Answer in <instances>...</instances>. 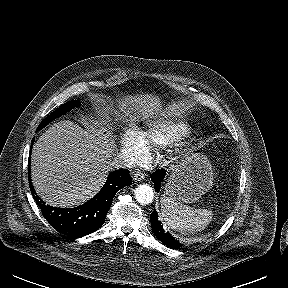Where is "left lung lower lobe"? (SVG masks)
<instances>
[{
    "instance_id": "1",
    "label": "left lung lower lobe",
    "mask_w": 288,
    "mask_h": 288,
    "mask_svg": "<svg viewBox=\"0 0 288 288\" xmlns=\"http://www.w3.org/2000/svg\"><path fill=\"white\" fill-rule=\"evenodd\" d=\"M166 175L164 169L155 171L152 176L151 180L154 183L155 191L160 190L161 183ZM151 227L153 230L154 235L163 242L166 246L170 248H180L183 244H180L179 241L175 240L168 232L166 233L161 225V222L158 220L157 211L154 210L150 215Z\"/></svg>"
}]
</instances>
